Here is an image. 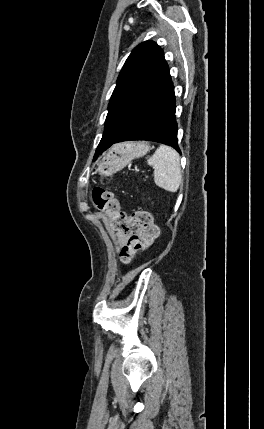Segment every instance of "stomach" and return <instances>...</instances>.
<instances>
[{
	"instance_id": "1",
	"label": "stomach",
	"mask_w": 264,
	"mask_h": 429,
	"mask_svg": "<svg viewBox=\"0 0 264 429\" xmlns=\"http://www.w3.org/2000/svg\"><path fill=\"white\" fill-rule=\"evenodd\" d=\"M151 146L146 142H124L114 145L98 164L101 176H111L123 169L131 160L146 155Z\"/></svg>"
}]
</instances>
